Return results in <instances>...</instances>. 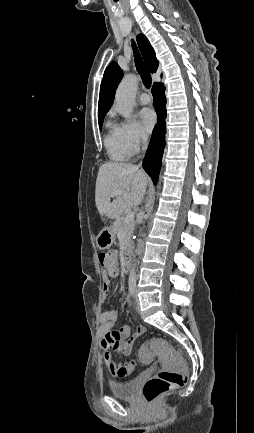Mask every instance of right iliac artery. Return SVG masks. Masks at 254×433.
<instances>
[{
    "label": "right iliac artery",
    "mask_w": 254,
    "mask_h": 433,
    "mask_svg": "<svg viewBox=\"0 0 254 433\" xmlns=\"http://www.w3.org/2000/svg\"><path fill=\"white\" fill-rule=\"evenodd\" d=\"M135 287H136V283L135 282H130L129 283V293L130 295H133L135 292Z\"/></svg>",
    "instance_id": "right-iliac-artery-1"
}]
</instances>
